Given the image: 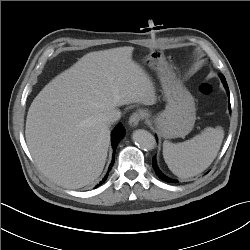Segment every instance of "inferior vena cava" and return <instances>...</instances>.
I'll list each match as a JSON object with an SVG mask.
<instances>
[{
	"label": "inferior vena cava",
	"mask_w": 250,
	"mask_h": 250,
	"mask_svg": "<svg viewBox=\"0 0 250 250\" xmlns=\"http://www.w3.org/2000/svg\"><path fill=\"white\" fill-rule=\"evenodd\" d=\"M120 117H121V112L117 109H113L105 113L103 120L106 123L111 124L119 120Z\"/></svg>",
	"instance_id": "1"
}]
</instances>
